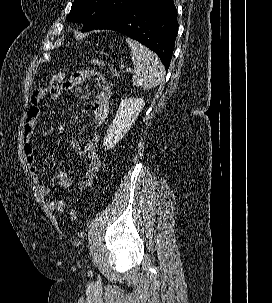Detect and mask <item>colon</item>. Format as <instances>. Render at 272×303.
I'll list each match as a JSON object with an SVG mask.
<instances>
[{
	"label": "colon",
	"instance_id": "colon-1",
	"mask_svg": "<svg viewBox=\"0 0 272 303\" xmlns=\"http://www.w3.org/2000/svg\"><path fill=\"white\" fill-rule=\"evenodd\" d=\"M92 64L96 67H103L105 62L103 59L99 58V57H95L92 59ZM111 75L113 77H119L120 75V71L116 68H112L111 69ZM65 78V73L60 72L57 74H54L52 76L51 82L49 84L48 90L52 96V98L57 99L60 97L62 90H63V80ZM69 217L72 221H75L77 219V212L73 209L70 210L69 212Z\"/></svg>",
	"mask_w": 272,
	"mask_h": 303
}]
</instances>
